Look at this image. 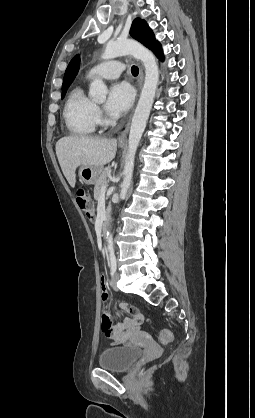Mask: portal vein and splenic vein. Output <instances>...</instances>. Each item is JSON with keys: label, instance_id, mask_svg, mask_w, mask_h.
<instances>
[{"label": "portal vein and splenic vein", "instance_id": "1", "mask_svg": "<svg viewBox=\"0 0 255 418\" xmlns=\"http://www.w3.org/2000/svg\"><path fill=\"white\" fill-rule=\"evenodd\" d=\"M105 192H106V186H104V187L101 188V193L102 194H105Z\"/></svg>", "mask_w": 255, "mask_h": 418}]
</instances>
